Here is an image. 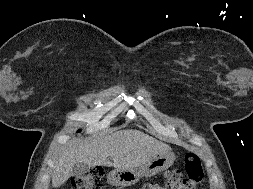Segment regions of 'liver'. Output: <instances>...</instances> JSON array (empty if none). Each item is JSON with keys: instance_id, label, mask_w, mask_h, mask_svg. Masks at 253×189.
<instances>
[{"instance_id": "obj_1", "label": "liver", "mask_w": 253, "mask_h": 189, "mask_svg": "<svg viewBox=\"0 0 253 189\" xmlns=\"http://www.w3.org/2000/svg\"><path fill=\"white\" fill-rule=\"evenodd\" d=\"M169 151L171 147L168 144L139 130H122L91 141L74 138L61 148L54 159L52 187L62 186L72 176L76 163L129 170Z\"/></svg>"}]
</instances>
